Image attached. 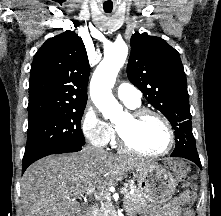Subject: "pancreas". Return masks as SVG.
<instances>
[{"label": "pancreas", "mask_w": 221, "mask_h": 216, "mask_svg": "<svg viewBox=\"0 0 221 216\" xmlns=\"http://www.w3.org/2000/svg\"><path fill=\"white\" fill-rule=\"evenodd\" d=\"M134 189L132 194L124 193V207L127 211L132 210L133 206L145 205L146 200L141 195L139 189L130 185L127 189ZM91 216H116L112 203L108 200L101 199L100 207Z\"/></svg>", "instance_id": "pancreas-1"}]
</instances>
